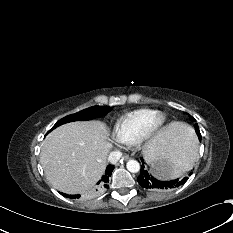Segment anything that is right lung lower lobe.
Returning a JSON list of instances; mask_svg holds the SVG:
<instances>
[{"label": "right lung lower lobe", "mask_w": 233, "mask_h": 233, "mask_svg": "<svg viewBox=\"0 0 233 233\" xmlns=\"http://www.w3.org/2000/svg\"><path fill=\"white\" fill-rule=\"evenodd\" d=\"M113 169H114L113 165H108L107 166L105 174L102 176L101 180L98 181L97 185L92 188L90 193H92V194L101 193L102 191L105 190V188H108L109 178H110V176L112 174ZM61 194L63 196H65V197L71 198V199L80 198V195H68V194H65V193H61Z\"/></svg>", "instance_id": "1"}]
</instances>
